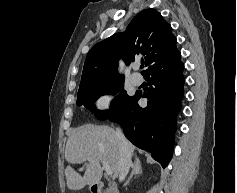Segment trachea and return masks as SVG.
I'll use <instances>...</instances> for the list:
<instances>
[{"label":"trachea","mask_w":237,"mask_h":193,"mask_svg":"<svg viewBox=\"0 0 237 193\" xmlns=\"http://www.w3.org/2000/svg\"><path fill=\"white\" fill-rule=\"evenodd\" d=\"M144 67V65L142 64L141 66H140V68L142 69Z\"/></svg>","instance_id":"obj_1"}]
</instances>
